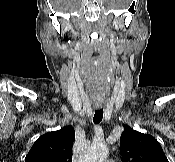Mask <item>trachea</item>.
I'll use <instances>...</instances> for the list:
<instances>
[{
    "instance_id": "3493384b",
    "label": "trachea",
    "mask_w": 175,
    "mask_h": 162,
    "mask_svg": "<svg viewBox=\"0 0 175 162\" xmlns=\"http://www.w3.org/2000/svg\"><path fill=\"white\" fill-rule=\"evenodd\" d=\"M103 118V109H98L95 111L93 122L94 124H99Z\"/></svg>"
}]
</instances>
